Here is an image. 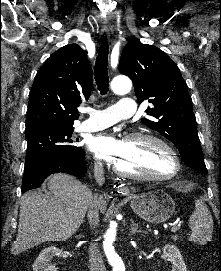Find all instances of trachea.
I'll list each match as a JSON object with an SVG mask.
<instances>
[{"label":"trachea","instance_id":"1","mask_svg":"<svg viewBox=\"0 0 221 271\" xmlns=\"http://www.w3.org/2000/svg\"><path fill=\"white\" fill-rule=\"evenodd\" d=\"M108 50L107 40L103 39L98 50L94 71L96 85L101 95H106L109 90Z\"/></svg>","mask_w":221,"mask_h":271}]
</instances>
